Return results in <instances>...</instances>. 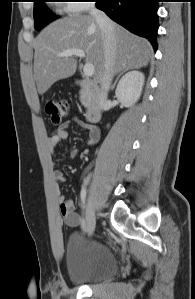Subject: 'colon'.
Listing matches in <instances>:
<instances>
[{
  "label": "colon",
  "instance_id": "1",
  "mask_svg": "<svg viewBox=\"0 0 195 299\" xmlns=\"http://www.w3.org/2000/svg\"><path fill=\"white\" fill-rule=\"evenodd\" d=\"M69 108V102L63 99H50L46 103V112L54 124H59L68 115Z\"/></svg>",
  "mask_w": 195,
  "mask_h": 299
}]
</instances>
